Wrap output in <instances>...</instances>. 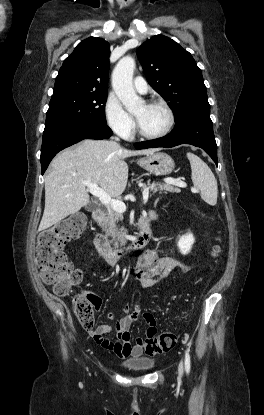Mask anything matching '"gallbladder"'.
<instances>
[{
  "label": "gallbladder",
  "instance_id": "1",
  "mask_svg": "<svg viewBox=\"0 0 264 415\" xmlns=\"http://www.w3.org/2000/svg\"><path fill=\"white\" fill-rule=\"evenodd\" d=\"M86 208H87V209H89V210H90V209H92V208H93V204L90 202V203L86 206Z\"/></svg>",
  "mask_w": 264,
  "mask_h": 415
}]
</instances>
